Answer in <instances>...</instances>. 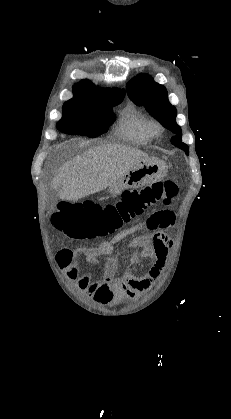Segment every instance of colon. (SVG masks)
Returning a JSON list of instances; mask_svg holds the SVG:
<instances>
[{"label": "colon", "instance_id": "obj_1", "mask_svg": "<svg viewBox=\"0 0 231 419\" xmlns=\"http://www.w3.org/2000/svg\"><path fill=\"white\" fill-rule=\"evenodd\" d=\"M176 193L177 185L168 180L155 182L140 189L125 190L118 199L108 201L104 205L97 202H62L58 211L54 213L53 223L73 237L102 238L141 216L150 206L158 202L170 204ZM63 253L64 251H60L57 259L65 263Z\"/></svg>", "mask_w": 231, "mask_h": 419}]
</instances>
